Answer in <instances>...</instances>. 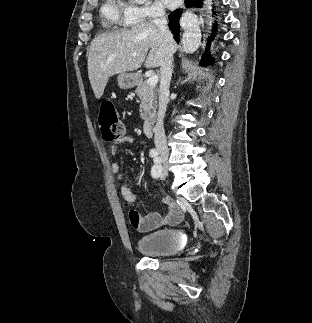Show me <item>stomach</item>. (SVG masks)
I'll list each match as a JSON object with an SVG mask.
<instances>
[{
    "label": "stomach",
    "mask_w": 312,
    "mask_h": 323,
    "mask_svg": "<svg viewBox=\"0 0 312 323\" xmlns=\"http://www.w3.org/2000/svg\"><path fill=\"white\" fill-rule=\"evenodd\" d=\"M118 86L121 90H129V88H134L139 82L138 74H127V72H121L118 76Z\"/></svg>",
    "instance_id": "stomach-1"
}]
</instances>
